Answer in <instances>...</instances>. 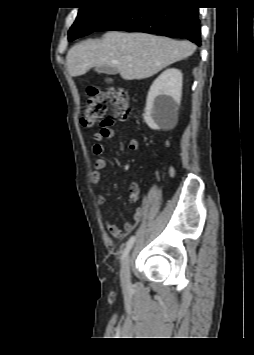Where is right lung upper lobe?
Returning <instances> with one entry per match:
<instances>
[{
	"label": "right lung upper lobe",
	"instance_id": "obj_1",
	"mask_svg": "<svg viewBox=\"0 0 254 355\" xmlns=\"http://www.w3.org/2000/svg\"><path fill=\"white\" fill-rule=\"evenodd\" d=\"M89 2H92V1H95V0H88ZM115 1H118V2H122V3H126V2H129L131 0H115Z\"/></svg>",
	"mask_w": 254,
	"mask_h": 355
}]
</instances>
